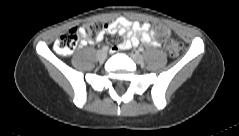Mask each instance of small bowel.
Wrapping results in <instances>:
<instances>
[{
  "label": "small bowel",
  "mask_w": 239,
  "mask_h": 136,
  "mask_svg": "<svg viewBox=\"0 0 239 136\" xmlns=\"http://www.w3.org/2000/svg\"><path fill=\"white\" fill-rule=\"evenodd\" d=\"M106 34H119L124 37L123 42L112 47V52L137 47L140 43L154 47L160 46V43L153 37V31L149 23H139L125 17H119L105 24L104 30L95 39H86L85 42L89 44L98 43L102 41Z\"/></svg>",
  "instance_id": "c3829d8e"
}]
</instances>
